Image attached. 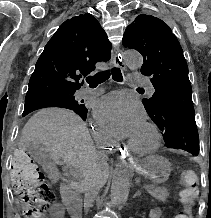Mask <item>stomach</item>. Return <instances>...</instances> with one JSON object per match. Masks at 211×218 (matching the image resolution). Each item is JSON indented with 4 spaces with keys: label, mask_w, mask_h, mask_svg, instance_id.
Here are the masks:
<instances>
[{
    "label": "stomach",
    "mask_w": 211,
    "mask_h": 218,
    "mask_svg": "<svg viewBox=\"0 0 211 218\" xmlns=\"http://www.w3.org/2000/svg\"><path fill=\"white\" fill-rule=\"evenodd\" d=\"M136 171L155 183H163L170 175L171 164L162 156L152 155L143 159L136 166Z\"/></svg>",
    "instance_id": "stomach-1"
}]
</instances>
